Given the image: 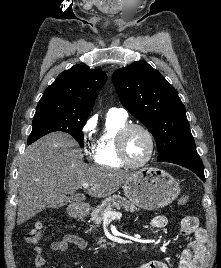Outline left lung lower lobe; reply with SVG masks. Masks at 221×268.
<instances>
[{"instance_id":"left-lung-lower-lobe-1","label":"left lung lower lobe","mask_w":221,"mask_h":268,"mask_svg":"<svg viewBox=\"0 0 221 268\" xmlns=\"http://www.w3.org/2000/svg\"><path fill=\"white\" fill-rule=\"evenodd\" d=\"M167 162L186 167L199 176L202 181H205L202 160L196 150L180 153L168 159Z\"/></svg>"}]
</instances>
